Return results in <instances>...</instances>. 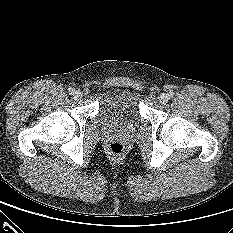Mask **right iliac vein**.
<instances>
[{
    "mask_svg": "<svg viewBox=\"0 0 233 233\" xmlns=\"http://www.w3.org/2000/svg\"><path fill=\"white\" fill-rule=\"evenodd\" d=\"M73 96L76 99H81L83 96V93L80 90H76V91H74Z\"/></svg>",
    "mask_w": 233,
    "mask_h": 233,
    "instance_id": "1",
    "label": "right iliac vein"
}]
</instances>
